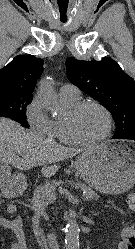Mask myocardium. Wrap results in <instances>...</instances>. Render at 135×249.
I'll return each instance as SVG.
<instances>
[{"mask_svg":"<svg viewBox=\"0 0 135 249\" xmlns=\"http://www.w3.org/2000/svg\"><path fill=\"white\" fill-rule=\"evenodd\" d=\"M90 106L96 107L103 112V114L106 117L107 128L102 136L96 139L88 140V139L81 138L76 133L74 129V125H73V120L75 119L76 116L80 114V112L83 109H85L86 107H90ZM65 124H66L67 133L74 144L81 145V146H94V145H97L103 142L109 137L112 131V127H113V118H112L111 112L103 104L97 101L88 100V101L79 102L73 108L70 109L68 116L65 120Z\"/></svg>","mask_w":135,"mask_h":249,"instance_id":"1","label":"myocardium"}]
</instances>
